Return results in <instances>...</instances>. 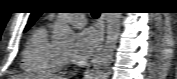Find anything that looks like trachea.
<instances>
[{"label": "trachea", "instance_id": "3493384b", "mask_svg": "<svg viewBox=\"0 0 177 79\" xmlns=\"http://www.w3.org/2000/svg\"><path fill=\"white\" fill-rule=\"evenodd\" d=\"M92 16H93L94 18H98V17H99V14H92Z\"/></svg>", "mask_w": 177, "mask_h": 79}]
</instances>
